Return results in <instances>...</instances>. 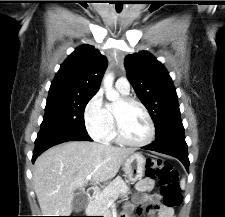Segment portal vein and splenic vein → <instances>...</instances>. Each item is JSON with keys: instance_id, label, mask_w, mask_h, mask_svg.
I'll list each match as a JSON object with an SVG mask.
<instances>
[{"instance_id": "obj_1", "label": "portal vein and splenic vein", "mask_w": 225, "mask_h": 217, "mask_svg": "<svg viewBox=\"0 0 225 217\" xmlns=\"http://www.w3.org/2000/svg\"><path fill=\"white\" fill-rule=\"evenodd\" d=\"M91 177H92V174H89L86 178H87V180H90Z\"/></svg>"}]
</instances>
